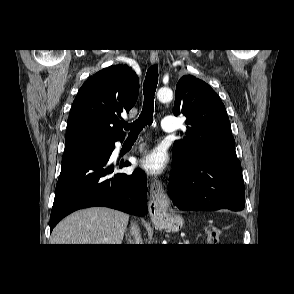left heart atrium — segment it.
<instances>
[{"label":"left heart atrium","instance_id":"1","mask_svg":"<svg viewBox=\"0 0 294 294\" xmlns=\"http://www.w3.org/2000/svg\"><path fill=\"white\" fill-rule=\"evenodd\" d=\"M140 166L149 173H161L166 166L164 152L160 149H154L153 151L147 153L141 158Z\"/></svg>","mask_w":294,"mask_h":294}]
</instances>
